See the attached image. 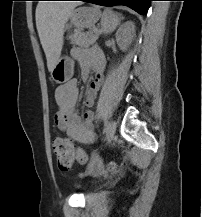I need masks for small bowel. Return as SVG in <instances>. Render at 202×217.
Masks as SVG:
<instances>
[{"instance_id":"small-bowel-1","label":"small bowel","mask_w":202,"mask_h":217,"mask_svg":"<svg viewBox=\"0 0 202 217\" xmlns=\"http://www.w3.org/2000/svg\"><path fill=\"white\" fill-rule=\"evenodd\" d=\"M78 61L81 74L87 80L91 68L94 69V78L88 83L84 104L90 108L93 106L98 91L103 82L104 58L95 50L84 51L75 48L71 52ZM79 100V88L76 79H71L55 90V103L57 112L54 117L57 127L64 131L73 141L91 144L95 141L93 124L95 113L91 110L84 112L82 116L76 110Z\"/></svg>"}]
</instances>
